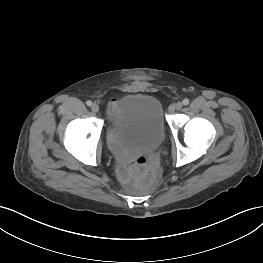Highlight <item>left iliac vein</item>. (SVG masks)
Masks as SVG:
<instances>
[{
	"mask_svg": "<svg viewBox=\"0 0 263 263\" xmlns=\"http://www.w3.org/2000/svg\"><path fill=\"white\" fill-rule=\"evenodd\" d=\"M182 107H183V104H182L181 102H177V103L175 104V109H176V110H181Z\"/></svg>",
	"mask_w": 263,
	"mask_h": 263,
	"instance_id": "4c4485c4",
	"label": "left iliac vein"
}]
</instances>
